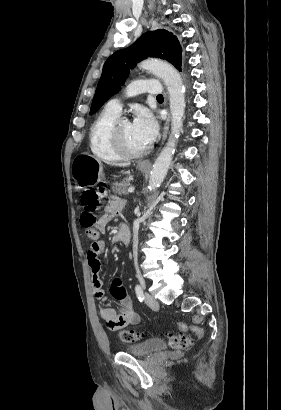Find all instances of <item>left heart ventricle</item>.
Listing matches in <instances>:
<instances>
[{
	"label": "left heart ventricle",
	"mask_w": 281,
	"mask_h": 410,
	"mask_svg": "<svg viewBox=\"0 0 281 410\" xmlns=\"http://www.w3.org/2000/svg\"><path fill=\"white\" fill-rule=\"evenodd\" d=\"M120 134L126 143V145L133 150H141L144 149L146 146L140 142V140L136 137L132 123L128 120L123 121L120 125Z\"/></svg>",
	"instance_id": "left-heart-ventricle-1"
}]
</instances>
